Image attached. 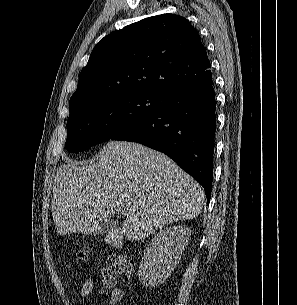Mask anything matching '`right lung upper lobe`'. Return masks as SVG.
<instances>
[{"label":"right lung upper lobe","instance_id":"right-lung-upper-lobe-1","mask_svg":"<svg viewBox=\"0 0 297 305\" xmlns=\"http://www.w3.org/2000/svg\"><path fill=\"white\" fill-rule=\"evenodd\" d=\"M198 32L184 17L162 14L104 37L82 69L70 112L121 93L166 96L212 78Z\"/></svg>","mask_w":297,"mask_h":305}]
</instances>
